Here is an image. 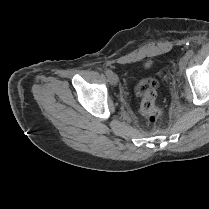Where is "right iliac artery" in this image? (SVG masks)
I'll list each match as a JSON object with an SVG mask.
<instances>
[{
	"instance_id": "1",
	"label": "right iliac artery",
	"mask_w": 209,
	"mask_h": 209,
	"mask_svg": "<svg viewBox=\"0 0 209 209\" xmlns=\"http://www.w3.org/2000/svg\"><path fill=\"white\" fill-rule=\"evenodd\" d=\"M105 74L107 75V76H109L111 73H112V71L111 70H109V69H105Z\"/></svg>"
}]
</instances>
